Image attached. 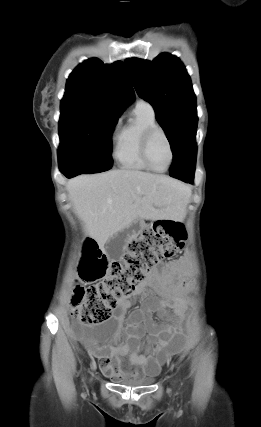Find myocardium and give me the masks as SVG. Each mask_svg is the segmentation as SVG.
<instances>
[{"instance_id": "myocardium-1", "label": "myocardium", "mask_w": 261, "mask_h": 427, "mask_svg": "<svg viewBox=\"0 0 261 427\" xmlns=\"http://www.w3.org/2000/svg\"><path fill=\"white\" fill-rule=\"evenodd\" d=\"M157 134H161L164 137V139L166 140V142L168 144V148H169V152H170V158H169L168 164L164 169H161V170L156 169L152 165V163L149 159V147H150L152 139ZM140 153H141V158H142L143 162L146 164V166L150 170H152L154 172H158V173L166 172L170 168V166L172 165L173 160H174V149H173L172 142H171L168 134L162 128H160L158 126L149 128L144 132L142 139H141Z\"/></svg>"}]
</instances>
